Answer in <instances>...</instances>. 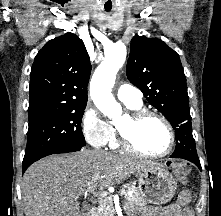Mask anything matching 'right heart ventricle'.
<instances>
[{
  "instance_id": "1",
  "label": "right heart ventricle",
  "mask_w": 221,
  "mask_h": 216,
  "mask_svg": "<svg viewBox=\"0 0 221 216\" xmlns=\"http://www.w3.org/2000/svg\"><path fill=\"white\" fill-rule=\"evenodd\" d=\"M126 106L130 110H138V109L142 108V103H140V104H126ZM108 145L112 149H118L120 147L119 142H118V138H117V131H116L115 124L110 125V136H109V140H108Z\"/></svg>"
}]
</instances>
